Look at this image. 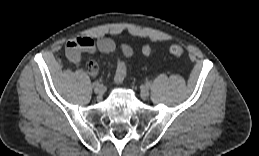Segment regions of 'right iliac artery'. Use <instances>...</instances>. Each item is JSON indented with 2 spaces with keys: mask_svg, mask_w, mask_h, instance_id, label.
<instances>
[{
  "mask_svg": "<svg viewBox=\"0 0 259 156\" xmlns=\"http://www.w3.org/2000/svg\"><path fill=\"white\" fill-rule=\"evenodd\" d=\"M99 84H100L99 81H95V82L93 83V87L95 88V87L99 86Z\"/></svg>",
  "mask_w": 259,
  "mask_h": 156,
  "instance_id": "82829eb1",
  "label": "right iliac artery"
}]
</instances>
